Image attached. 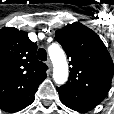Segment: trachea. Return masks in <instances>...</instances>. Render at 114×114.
<instances>
[{
  "label": "trachea",
  "instance_id": "obj_1",
  "mask_svg": "<svg viewBox=\"0 0 114 114\" xmlns=\"http://www.w3.org/2000/svg\"><path fill=\"white\" fill-rule=\"evenodd\" d=\"M37 56L41 61H46L47 60L46 50L43 48H40L37 52Z\"/></svg>",
  "mask_w": 114,
  "mask_h": 114
}]
</instances>
